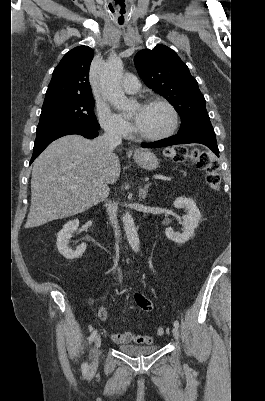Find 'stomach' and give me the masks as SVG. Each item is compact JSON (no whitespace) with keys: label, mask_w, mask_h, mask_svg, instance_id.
Wrapping results in <instances>:
<instances>
[{"label":"stomach","mask_w":265,"mask_h":401,"mask_svg":"<svg viewBox=\"0 0 265 401\" xmlns=\"http://www.w3.org/2000/svg\"><path fill=\"white\" fill-rule=\"evenodd\" d=\"M133 158L141 168L146 170H155L159 166V158L151 150H135Z\"/></svg>","instance_id":"0dacf381"}]
</instances>
